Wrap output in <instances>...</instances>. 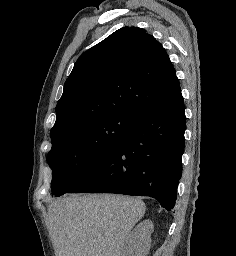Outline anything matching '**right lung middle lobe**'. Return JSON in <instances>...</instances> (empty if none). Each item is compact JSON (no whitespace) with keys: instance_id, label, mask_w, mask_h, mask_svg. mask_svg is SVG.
Here are the masks:
<instances>
[{"instance_id":"dd1d6c3e","label":"right lung middle lobe","mask_w":236,"mask_h":256,"mask_svg":"<svg viewBox=\"0 0 236 256\" xmlns=\"http://www.w3.org/2000/svg\"><path fill=\"white\" fill-rule=\"evenodd\" d=\"M137 121L126 114H112L51 134L47 162L53 171V194L61 196L71 189L123 140Z\"/></svg>"}]
</instances>
